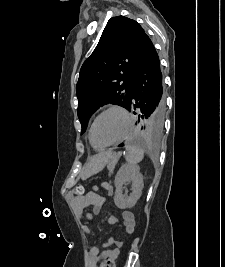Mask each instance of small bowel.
<instances>
[{
  "label": "small bowel",
  "instance_id": "1",
  "mask_svg": "<svg viewBox=\"0 0 225 267\" xmlns=\"http://www.w3.org/2000/svg\"><path fill=\"white\" fill-rule=\"evenodd\" d=\"M106 193L112 195L114 189L112 185L106 183L103 185ZM104 203V199L98 194L97 187H94L92 191L87 193L83 199H72V204L76 212L80 215L84 213L87 208H91L93 213H98ZM122 222L115 215L109 217V223L112 225H118L125 233L131 234L135 228V220L133 214L128 210H122L121 212ZM85 218L88 220L93 219V214L90 212L85 213ZM86 233H91V229L88 226L84 227ZM114 245V247H111ZM123 242L110 237L105 241L101 247H91L88 252V267H106L108 260H114L120 253V248Z\"/></svg>",
  "mask_w": 225,
  "mask_h": 267
}]
</instances>
